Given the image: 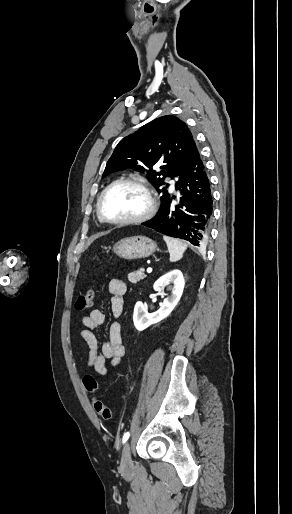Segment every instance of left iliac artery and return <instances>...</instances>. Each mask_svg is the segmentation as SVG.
Returning <instances> with one entry per match:
<instances>
[{"instance_id": "left-iliac-artery-1", "label": "left iliac artery", "mask_w": 292, "mask_h": 514, "mask_svg": "<svg viewBox=\"0 0 292 514\" xmlns=\"http://www.w3.org/2000/svg\"><path fill=\"white\" fill-rule=\"evenodd\" d=\"M129 436H130V433H129V432H126V433L123 435L122 443H125V442L129 439Z\"/></svg>"}]
</instances>
